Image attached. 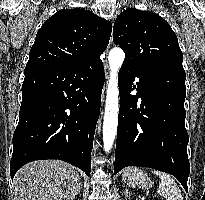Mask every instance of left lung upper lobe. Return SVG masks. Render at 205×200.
Here are the masks:
<instances>
[{"label": "left lung upper lobe", "mask_w": 205, "mask_h": 200, "mask_svg": "<svg viewBox=\"0 0 205 200\" xmlns=\"http://www.w3.org/2000/svg\"><path fill=\"white\" fill-rule=\"evenodd\" d=\"M113 41L125 52L124 67L140 71L173 64L182 66L177 36L156 13L124 10L114 23Z\"/></svg>", "instance_id": "1"}]
</instances>
